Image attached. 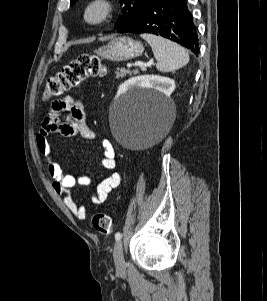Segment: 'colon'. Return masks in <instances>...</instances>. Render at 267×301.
Returning a JSON list of instances; mask_svg holds the SVG:
<instances>
[{
  "instance_id": "1",
  "label": "colon",
  "mask_w": 267,
  "mask_h": 301,
  "mask_svg": "<svg viewBox=\"0 0 267 301\" xmlns=\"http://www.w3.org/2000/svg\"><path fill=\"white\" fill-rule=\"evenodd\" d=\"M107 69L98 56L83 54L65 66L57 75L51 76L46 83L43 97L50 99L62 95L79 85L88 77H102ZM94 229L103 235L112 231V220L109 215L98 212L92 218Z\"/></svg>"
}]
</instances>
